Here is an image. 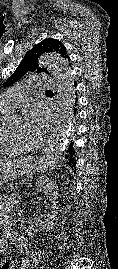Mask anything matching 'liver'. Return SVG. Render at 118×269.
<instances>
[{"label": "liver", "mask_w": 118, "mask_h": 269, "mask_svg": "<svg viewBox=\"0 0 118 269\" xmlns=\"http://www.w3.org/2000/svg\"><path fill=\"white\" fill-rule=\"evenodd\" d=\"M12 163H13L12 161L1 162V163H0V167H6V166H8V165H10V164H12Z\"/></svg>", "instance_id": "6515ba94"}]
</instances>
